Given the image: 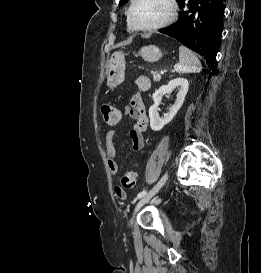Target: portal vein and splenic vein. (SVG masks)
Wrapping results in <instances>:
<instances>
[{
  "label": "portal vein and splenic vein",
  "mask_w": 261,
  "mask_h": 273,
  "mask_svg": "<svg viewBox=\"0 0 261 273\" xmlns=\"http://www.w3.org/2000/svg\"><path fill=\"white\" fill-rule=\"evenodd\" d=\"M164 72H165L164 70H161V74H164Z\"/></svg>",
  "instance_id": "18ae733b"
}]
</instances>
